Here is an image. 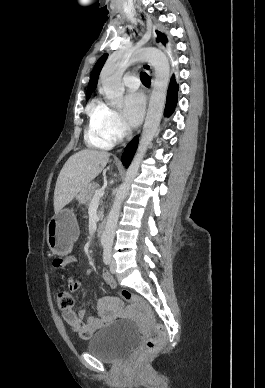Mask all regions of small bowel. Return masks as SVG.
Here are the masks:
<instances>
[{"instance_id": "obj_1", "label": "small bowel", "mask_w": 265, "mask_h": 388, "mask_svg": "<svg viewBox=\"0 0 265 388\" xmlns=\"http://www.w3.org/2000/svg\"><path fill=\"white\" fill-rule=\"evenodd\" d=\"M77 262L73 256L60 259L55 262V266L60 269H65L68 266H72ZM104 283L114 288L116 287V281L113 276L108 272L103 273ZM68 287L72 292L81 289V283L72 276H67ZM99 314L91 315L85 320L86 309L75 311L72 309H66L62 312V318L69 326V328L79 335L81 338L88 339L104 325L109 324L121 314V306L118 300L112 297H102L94 302Z\"/></svg>"}]
</instances>
